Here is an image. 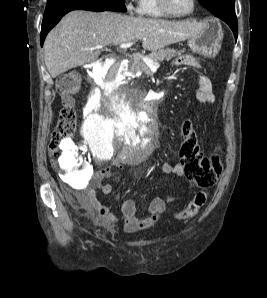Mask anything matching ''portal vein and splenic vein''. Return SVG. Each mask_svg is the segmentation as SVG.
<instances>
[{
	"mask_svg": "<svg viewBox=\"0 0 267 298\" xmlns=\"http://www.w3.org/2000/svg\"><path fill=\"white\" fill-rule=\"evenodd\" d=\"M134 44V42H129V43H124V44H121L120 45V48L122 49H126V48H129L131 47L132 45ZM104 46L102 45H97L93 48H90L91 50H100L102 49ZM142 60L144 61V63L151 69V70H155L157 68L160 67V64L158 62H155L153 61L151 58L149 57H144V56H141Z\"/></svg>",
	"mask_w": 267,
	"mask_h": 298,
	"instance_id": "portal-vein-and-splenic-vein-1",
	"label": "portal vein and splenic vein"
}]
</instances>
